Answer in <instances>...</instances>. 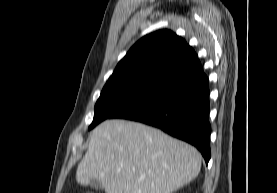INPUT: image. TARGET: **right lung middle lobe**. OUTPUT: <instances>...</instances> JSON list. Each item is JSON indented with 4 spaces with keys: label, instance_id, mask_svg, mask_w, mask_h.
Here are the masks:
<instances>
[{
    "label": "right lung middle lobe",
    "instance_id": "right-lung-middle-lobe-1",
    "mask_svg": "<svg viewBox=\"0 0 277 193\" xmlns=\"http://www.w3.org/2000/svg\"><path fill=\"white\" fill-rule=\"evenodd\" d=\"M151 91L130 88L103 89L94 109V119L89 130L105 119L112 118L132 106Z\"/></svg>",
    "mask_w": 277,
    "mask_h": 193
}]
</instances>
